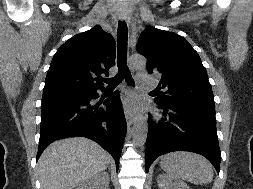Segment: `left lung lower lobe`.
<instances>
[{
  "label": "left lung lower lobe",
  "mask_w": 253,
  "mask_h": 189,
  "mask_svg": "<svg viewBox=\"0 0 253 189\" xmlns=\"http://www.w3.org/2000/svg\"><path fill=\"white\" fill-rule=\"evenodd\" d=\"M167 118L154 124L149 119L146 141L145 169L160 155L172 151H191L206 157L220 171L215 112L179 104H160ZM167 120V122H166Z\"/></svg>",
  "instance_id": "obj_1"
}]
</instances>
